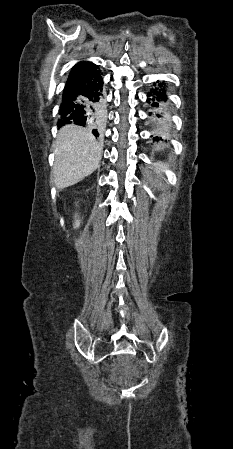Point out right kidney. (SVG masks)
I'll list each match as a JSON object with an SVG mask.
<instances>
[{
	"label": "right kidney",
	"instance_id": "obj_1",
	"mask_svg": "<svg viewBox=\"0 0 233 449\" xmlns=\"http://www.w3.org/2000/svg\"><path fill=\"white\" fill-rule=\"evenodd\" d=\"M79 225H80V221H79V220H76V222H75V227H79Z\"/></svg>",
	"mask_w": 233,
	"mask_h": 449
}]
</instances>
